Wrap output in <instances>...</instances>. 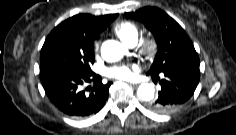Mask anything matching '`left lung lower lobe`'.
<instances>
[{
    "label": "left lung lower lobe",
    "instance_id": "left-lung-lower-lobe-1",
    "mask_svg": "<svg viewBox=\"0 0 236 135\" xmlns=\"http://www.w3.org/2000/svg\"><path fill=\"white\" fill-rule=\"evenodd\" d=\"M199 58H193L185 66H177L162 72L161 90L150 108L158 113H171L184 105L194 94L200 79ZM159 79L158 73H147Z\"/></svg>",
    "mask_w": 236,
    "mask_h": 135
}]
</instances>
